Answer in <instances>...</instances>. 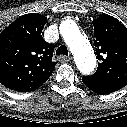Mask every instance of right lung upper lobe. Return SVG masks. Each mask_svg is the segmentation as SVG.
<instances>
[{
    "mask_svg": "<svg viewBox=\"0 0 127 127\" xmlns=\"http://www.w3.org/2000/svg\"><path fill=\"white\" fill-rule=\"evenodd\" d=\"M47 19L38 13L23 15L0 33V83L19 91L36 90L52 74L54 45L42 37Z\"/></svg>",
    "mask_w": 127,
    "mask_h": 127,
    "instance_id": "obj_1",
    "label": "right lung upper lobe"
}]
</instances>
